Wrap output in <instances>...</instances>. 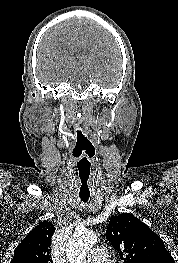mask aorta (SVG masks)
Listing matches in <instances>:
<instances>
[{
    "mask_svg": "<svg viewBox=\"0 0 178 263\" xmlns=\"http://www.w3.org/2000/svg\"><path fill=\"white\" fill-rule=\"evenodd\" d=\"M96 240L97 236L93 231L76 230L69 239L66 248L69 263H85L86 255Z\"/></svg>",
    "mask_w": 178,
    "mask_h": 263,
    "instance_id": "762f6f07",
    "label": "aorta"
}]
</instances>
